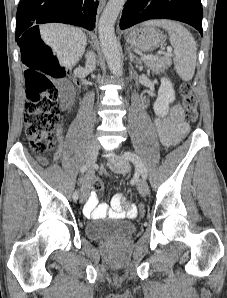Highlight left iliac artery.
Segmentation results:
<instances>
[{
  "mask_svg": "<svg viewBox=\"0 0 227 298\" xmlns=\"http://www.w3.org/2000/svg\"><path fill=\"white\" fill-rule=\"evenodd\" d=\"M123 157L126 160L131 161L132 163H134V165L136 166V168L140 171L143 179L147 178V169L145 167V165L143 164V162L140 160V158L133 152H125Z\"/></svg>",
  "mask_w": 227,
  "mask_h": 298,
  "instance_id": "44dca946",
  "label": "left iliac artery"
}]
</instances>
